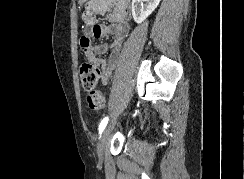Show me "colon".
<instances>
[{"label": "colon", "mask_w": 244, "mask_h": 179, "mask_svg": "<svg viewBox=\"0 0 244 179\" xmlns=\"http://www.w3.org/2000/svg\"><path fill=\"white\" fill-rule=\"evenodd\" d=\"M99 70L90 62L80 65V80L87 91V105L91 110H102L106 104V98L102 91L97 89Z\"/></svg>", "instance_id": "5ec220e1"}]
</instances>
